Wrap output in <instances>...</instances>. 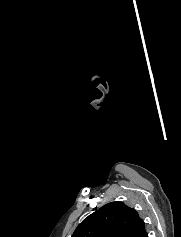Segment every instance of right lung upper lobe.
<instances>
[{"label": "right lung upper lobe", "mask_w": 181, "mask_h": 237, "mask_svg": "<svg viewBox=\"0 0 181 237\" xmlns=\"http://www.w3.org/2000/svg\"><path fill=\"white\" fill-rule=\"evenodd\" d=\"M71 237H148L138 213L122 202H111L89 215Z\"/></svg>", "instance_id": "right-lung-upper-lobe-1"}]
</instances>
